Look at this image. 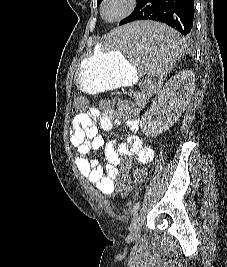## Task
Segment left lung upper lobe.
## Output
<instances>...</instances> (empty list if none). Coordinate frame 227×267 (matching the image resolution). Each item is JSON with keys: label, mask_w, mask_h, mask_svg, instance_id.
Here are the masks:
<instances>
[{"label": "left lung upper lobe", "mask_w": 227, "mask_h": 267, "mask_svg": "<svg viewBox=\"0 0 227 267\" xmlns=\"http://www.w3.org/2000/svg\"><path fill=\"white\" fill-rule=\"evenodd\" d=\"M102 0H97V4L99 5L101 3Z\"/></svg>", "instance_id": "5c2ea615"}]
</instances>
